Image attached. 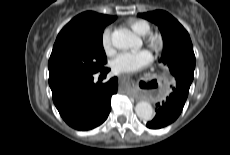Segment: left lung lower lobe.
<instances>
[{
    "mask_svg": "<svg viewBox=\"0 0 230 155\" xmlns=\"http://www.w3.org/2000/svg\"><path fill=\"white\" fill-rule=\"evenodd\" d=\"M191 82L178 78L171 85V93L162 103L156 104V116L146 126L151 129H159L174 122L184 107Z\"/></svg>",
    "mask_w": 230,
    "mask_h": 155,
    "instance_id": "0a47b994",
    "label": "left lung lower lobe"
}]
</instances>
